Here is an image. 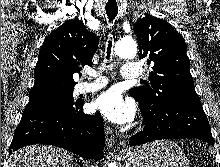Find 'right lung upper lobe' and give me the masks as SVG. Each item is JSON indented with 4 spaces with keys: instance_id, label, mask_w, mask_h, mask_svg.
Listing matches in <instances>:
<instances>
[{
    "instance_id": "1",
    "label": "right lung upper lobe",
    "mask_w": 220,
    "mask_h": 167,
    "mask_svg": "<svg viewBox=\"0 0 220 167\" xmlns=\"http://www.w3.org/2000/svg\"><path fill=\"white\" fill-rule=\"evenodd\" d=\"M98 37L78 18L65 21L43 42L34 71L29 100L74 89L73 74L92 65Z\"/></svg>"
}]
</instances>
